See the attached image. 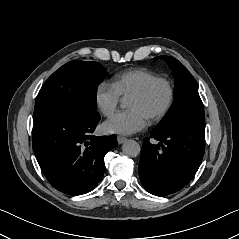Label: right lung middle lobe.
Masks as SVG:
<instances>
[{"label": "right lung middle lobe", "instance_id": "obj_1", "mask_svg": "<svg viewBox=\"0 0 239 239\" xmlns=\"http://www.w3.org/2000/svg\"><path fill=\"white\" fill-rule=\"evenodd\" d=\"M108 75L99 63L71 61L55 71L40 89L34 109V124L49 115L73 110L85 116L99 115L97 88Z\"/></svg>", "mask_w": 239, "mask_h": 239}]
</instances>
